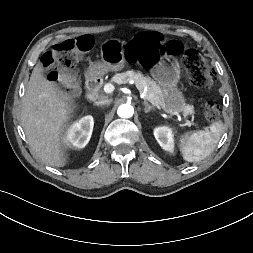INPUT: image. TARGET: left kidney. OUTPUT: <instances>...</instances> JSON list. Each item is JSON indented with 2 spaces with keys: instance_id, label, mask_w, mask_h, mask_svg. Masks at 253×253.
<instances>
[{
  "instance_id": "left-kidney-1",
  "label": "left kidney",
  "mask_w": 253,
  "mask_h": 253,
  "mask_svg": "<svg viewBox=\"0 0 253 253\" xmlns=\"http://www.w3.org/2000/svg\"><path fill=\"white\" fill-rule=\"evenodd\" d=\"M154 136L162 149L173 152L174 139L172 130L168 127H158L154 130Z\"/></svg>"
}]
</instances>
